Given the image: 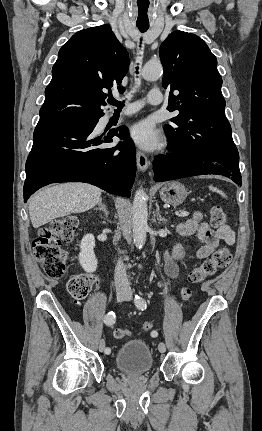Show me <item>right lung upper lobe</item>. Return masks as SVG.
I'll use <instances>...</instances> for the list:
<instances>
[{"label": "right lung upper lobe", "mask_w": 262, "mask_h": 431, "mask_svg": "<svg viewBox=\"0 0 262 431\" xmlns=\"http://www.w3.org/2000/svg\"><path fill=\"white\" fill-rule=\"evenodd\" d=\"M128 67V53L110 26L75 33L59 50L40 119L100 118L107 91L123 89Z\"/></svg>", "instance_id": "cb5924a9"}]
</instances>
